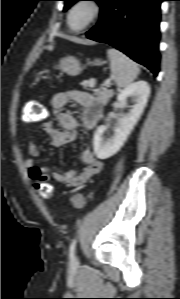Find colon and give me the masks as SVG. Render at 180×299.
I'll return each instance as SVG.
<instances>
[{
	"label": "colon",
	"instance_id": "1",
	"mask_svg": "<svg viewBox=\"0 0 180 299\" xmlns=\"http://www.w3.org/2000/svg\"><path fill=\"white\" fill-rule=\"evenodd\" d=\"M25 116L28 121H41L48 117V111L45 105L37 101H30L27 105ZM35 189L45 199H51L54 196L53 185L48 181L36 183ZM73 204L76 207H83L85 204V197L82 195L74 197Z\"/></svg>",
	"mask_w": 180,
	"mask_h": 299
}]
</instances>
